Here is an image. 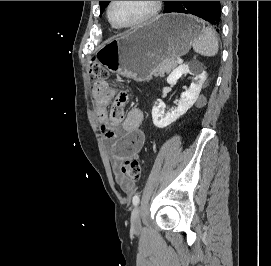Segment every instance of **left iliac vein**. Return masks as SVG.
I'll use <instances>...</instances> for the list:
<instances>
[{
	"label": "left iliac vein",
	"mask_w": 271,
	"mask_h": 266,
	"mask_svg": "<svg viewBox=\"0 0 271 266\" xmlns=\"http://www.w3.org/2000/svg\"><path fill=\"white\" fill-rule=\"evenodd\" d=\"M131 228L134 231H139L141 229V209L136 206L131 215Z\"/></svg>",
	"instance_id": "obj_1"
}]
</instances>
